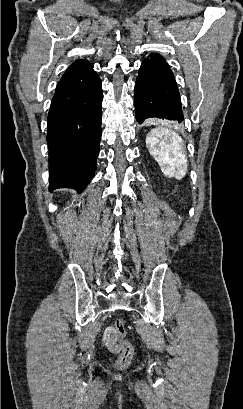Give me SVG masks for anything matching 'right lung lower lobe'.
<instances>
[{
	"label": "right lung lower lobe",
	"mask_w": 243,
	"mask_h": 409,
	"mask_svg": "<svg viewBox=\"0 0 243 409\" xmlns=\"http://www.w3.org/2000/svg\"><path fill=\"white\" fill-rule=\"evenodd\" d=\"M101 80L93 70L62 76L48 115L49 189L73 188L79 192L96 169L101 138Z\"/></svg>",
	"instance_id": "1"
}]
</instances>
